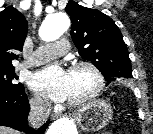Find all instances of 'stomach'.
Masks as SVG:
<instances>
[{"instance_id": "obj_1", "label": "stomach", "mask_w": 153, "mask_h": 134, "mask_svg": "<svg viewBox=\"0 0 153 134\" xmlns=\"http://www.w3.org/2000/svg\"><path fill=\"white\" fill-rule=\"evenodd\" d=\"M112 117L110 104L103 100H94L78 111L77 122L83 131L97 132L107 126Z\"/></svg>"}]
</instances>
